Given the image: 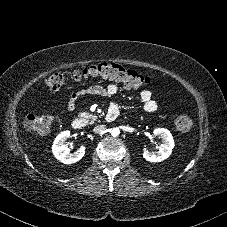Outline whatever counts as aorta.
<instances>
[{"mask_svg":"<svg viewBox=\"0 0 227 227\" xmlns=\"http://www.w3.org/2000/svg\"><path fill=\"white\" fill-rule=\"evenodd\" d=\"M111 134L112 136L116 137L120 134V130L118 128H113Z\"/></svg>","mask_w":227,"mask_h":227,"instance_id":"1","label":"aorta"}]
</instances>
